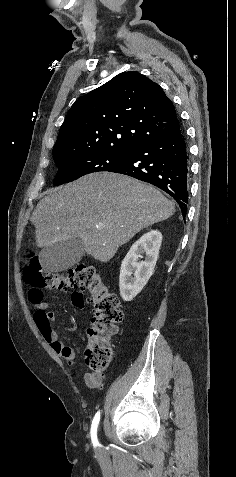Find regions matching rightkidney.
Masks as SVG:
<instances>
[{
    "label": "right kidney",
    "instance_id": "obj_1",
    "mask_svg": "<svg viewBox=\"0 0 236 477\" xmlns=\"http://www.w3.org/2000/svg\"><path fill=\"white\" fill-rule=\"evenodd\" d=\"M162 234L151 230L137 240L122 261L119 277L120 294L124 301H131L141 292L154 272ZM145 254V260L141 261Z\"/></svg>",
    "mask_w": 236,
    "mask_h": 477
}]
</instances>
